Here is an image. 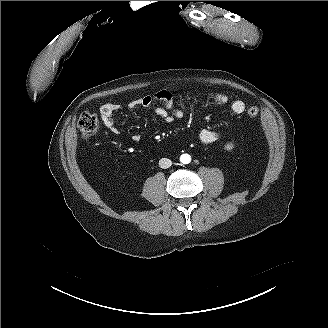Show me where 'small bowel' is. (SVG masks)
Instances as JSON below:
<instances>
[{
  "mask_svg": "<svg viewBox=\"0 0 328 328\" xmlns=\"http://www.w3.org/2000/svg\"><path fill=\"white\" fill-rule=\"evenodd\" d=\"M211 99L219 105H226L229 103V97L223 92H213L211 94ZM138 107H154L155 113L167 123L181 118L182 116V112L173 106V95L166 90H161L151 95L136 98L128 104L129 109H135ZM120 108V104L108 102L103 104L99 109L100 117L104 126L112 134H118L119 132L115 125L114 114L120 110ZM230 109L235 114H241L245 111L246 105L242 100H235L231 102ZM198 137L202 144L210 145L218 139V133L214 130L201 128ZM132 140L137 142L139 137L133 136Z\"/></svg>",
  "mask_w": 328,
  "mask_h": 328,
  "instance_id": "small-bowel-1",
  "label": "small bowel"
}]
</instances>
